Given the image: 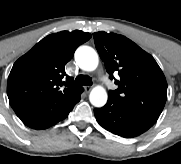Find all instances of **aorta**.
I'll return each mask as SVG.
<instances>
[{"instance_id": "1", "label": "aorta", "mask_w": 181, "mask_h": 164, "mask_svg": "<svg viewBox=\"0 0 181 164\" xmlns=\"http://www.w3.org/2000/svg\"><path fill=\"white\" fill-rule=\"evenodd\" d=\"M75 61L84 71H94L99 63L97 52L89 46H81L76 50ZM107 98V92L102 86L94 87L89 95V100L95 107L104 106Z\"/></svg>"}]
</instances>
